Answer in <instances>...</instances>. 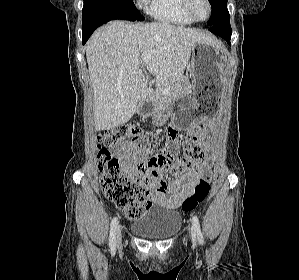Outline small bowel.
<instances>
[{"instance_id": "small-bowel-1", "label": "small bowel", "mask_w": 299, "mask_h": 280, "mask_svg": "<svg viewBox=\"0 0 299 280\" xmlns=\"http://www.w3.org/2000/svg\"><path fill=\"white\" fill-rule=\"evenodd\" d=\"M172 128L175 127L172 126ZM213 128V122H204L202 126H195L191 129L194 135L202 140L200 144L202 157L196 162L192 170L169 181L163 178L161 167L150 164L148 166L147 149H139L133 143H124L114 150L120 157L129 161L131 174L140 179L142 186L148 192V209L153 204L168 209H176L193 193L197 182L201 179L210 181L212 176L211 164L207 158L210 143L205 140V133L208 129ZM140 163L146 165L143 171L138 167Z\"/></svg>"}]
</instances>
